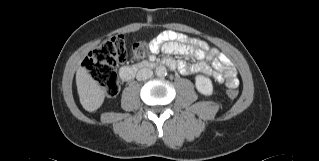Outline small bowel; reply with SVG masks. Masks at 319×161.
Returning a JSON list of instances; mask_svg holds the SVG:
<instances>
[{"label":"small bowel","mask_w":319,"mask_h":161,"mask_svg":"<svg viewBox=\"0 0 319 161\" xmlns=\"http://www.w3.org/2000/svg\"><path fill=\"white\" fill-rule=\"evenodd\" d=\"M150 51L153 54L163 52L194 57L197 60L194 63H179L178 69L182 74H213L219 83L225 82L227 85L234 84L235 86L239 84L237 69L230 60L203 40H190L181 32L164 30L151 41Z\"/></svg>","instance_id":"small-bowel-1"}]
</instances>
